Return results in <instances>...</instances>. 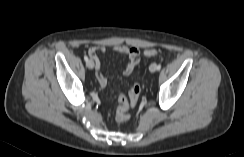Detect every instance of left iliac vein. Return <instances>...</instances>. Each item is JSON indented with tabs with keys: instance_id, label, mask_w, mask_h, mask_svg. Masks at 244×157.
Returning <instances> with one entry per match:
<instances>
[{
	"instance_id": "left-iliac-vein-1",
	"label": "left iliac vein",
	"mask_w": 244,
	"mask_h": 157,
	"mask_svg": "<svg viewBox=\"0 0 244 157\" xmlns=\"http://www.w3.org/2000/svg\"><path fill=\"white\" fill-rule=\"evenodd\" d=\"M156 64L155 63H152L151 65H150V67H149V70H150V72H155L156 71Z\"/></svg>"
}]
</instances>
